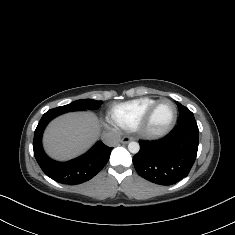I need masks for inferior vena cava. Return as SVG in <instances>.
Instances as JSON below:
<instances>
[{
    "label": "inferior vena cava",
    "mask_w": 235,
    "mask_h": 235,
    "mask_svg": "<svg viewBox=\"0 0 235 235\" xmlns=\"http://www.w3.org/2000/svg\"><path fill=\"white\" fill-rule=\"evenodd\" d=\"M101 139L107 146L115 147L120 142V135L117 132L111 131L103 134Z\"/></svg>",
    "instance_id": "inferior-vena-cava-1"
}]
</instances>
